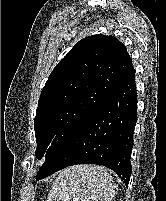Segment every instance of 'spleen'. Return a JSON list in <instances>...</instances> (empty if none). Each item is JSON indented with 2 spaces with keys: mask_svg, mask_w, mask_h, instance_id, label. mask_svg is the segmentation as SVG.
Listing matches in <instances>:
<instances>
[{
  "mask_svg": "<svg viewBox=\"0 0 166 201\" xmlns=\"http://www.w3.org/2000/svg\"><path fill=\"white\" fill-rule=\"evenodd\" d=\"M112 176L103 167L79 165L61 171L47 201H112Z\"/></svg>",
  "mask_w": 166,
  "mask_h": 201,
  "instance_id": "1",
  "label": "spleen"
}]
</instances>
